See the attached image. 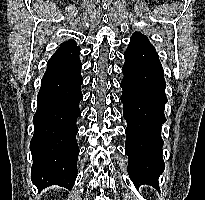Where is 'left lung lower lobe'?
<instances>
[{"instance_id":"0a47b994","label":"left lung lower lobe","mask_w":205,"mask_h":200,"mask_svg":"<svg viewBox=\"0 0 205 200\" xmlns=\"http://www.w3.org/2000/svg\"><path fill=\"white\" fill-rule=\"evenodd\" d=\"M121 81L123 116L127 121L125 152L128 174L133 183L159 189L164 171L161 125L167 98L165 79L158 54L144 35H133L127 47Z\"/></svg>"}]
</instances>
